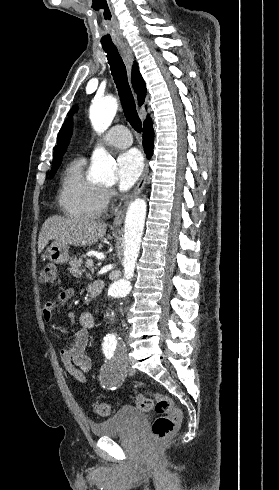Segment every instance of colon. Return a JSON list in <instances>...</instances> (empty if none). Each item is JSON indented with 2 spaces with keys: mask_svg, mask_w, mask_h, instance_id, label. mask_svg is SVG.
<instances>
[{
  "mask_svg": "<svg viewBox=\"0 0 279 490\" xmlns=\"http://www.w3.org/2000/svg\"><path fill=\"white\" fill-rule=\"evenodd\" d=\"M41 283L56 282V266L47 263L39 275ZM138 409L150 411L155 403L157 417L152 425L155 442H172L176 424L182 419L183 413L176 406L175 401L170 396L149 393L146 396L140 395L135 398ZM93 411L98 416H109L114 412V405L111 402L96 401L93 403Z\"/></svg>",
  "mask_w": 279,
  "mask_h": 490,
  "instance_id": "1",
  "label": "colon"
}]
</instances>
